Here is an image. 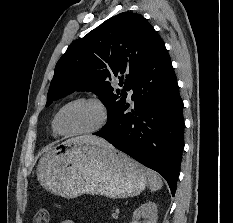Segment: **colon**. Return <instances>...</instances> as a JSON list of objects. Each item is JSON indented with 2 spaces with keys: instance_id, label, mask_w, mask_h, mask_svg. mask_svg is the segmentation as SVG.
Wrapping results in <instances>:
<instances>
[{
  "instance_id": "obj_1",
  "label": "colon",
  "mask_w": 233,
  "mask_h": 223,
  "mask_svg": "<svg viewBox=\"0 0 233 223\" xmlns=\"http://www.w3.org/2000/svg\"><path fill=\"white\" fill-rule=\"evenodd\" d=\"M46 217H47V211L45 209H41L38 212V217H37L36 223H46V221H47Z\"/></svg>"
}]
</instances>
